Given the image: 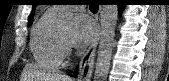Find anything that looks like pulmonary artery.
Returning <instances> with one entry per match:
<instances>
[{
  "label": "pulmonary artery",
  "mask_w": 169,
  "mask_h": 81,
  "mask_svg": "<svg viewBox=\"0 0 169 81\" xmlns=\"http://www.w3.org/2000/svg\"><path fill=\"white\" fill-rule=\"evenodd\" d=\"M63 3H66V2H63ZM59 8H60V7H54V8H52V9H54V10H55V9H59Z\"/></svg>",
  "instance_id": "obj_1"
}]
</instances>
